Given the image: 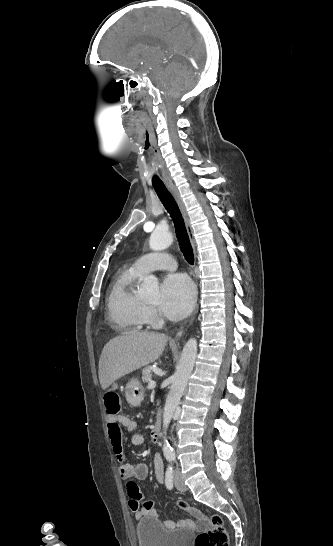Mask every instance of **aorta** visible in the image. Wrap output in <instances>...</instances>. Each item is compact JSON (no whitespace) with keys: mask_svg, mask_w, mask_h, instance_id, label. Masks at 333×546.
Instances as JSON below:
<instances>
[{"mask_svg":"<svg viewBox=\"0 0 333 546\" xmlns=\"http://www.w3.org/2000/svg\"><path fill=\"white\" fill-rule=\"evenodd\" d=\"M173 241L172 234L167 229L157 227L150 236L149 246L153 251H162L168 248ZM144 293L151 299L158 297V280L154 275H148L143 281ZM197 356V341L194 338L189 339L182 351L180 361L177 365L176 372L171 379V387L166 399L163 413V429L164 433L173 418L174 412L177 409L181 396L187 386L188 379L192 373ZM173 448L164 438L163 453L171 454Z\"/></svg>","mask_w":333,"mask_h":546,"instance_id":"762f6f07","label":"aorta"}]
</instances>
